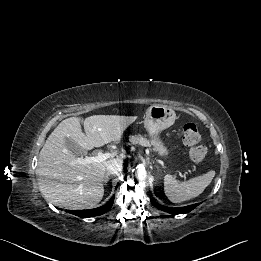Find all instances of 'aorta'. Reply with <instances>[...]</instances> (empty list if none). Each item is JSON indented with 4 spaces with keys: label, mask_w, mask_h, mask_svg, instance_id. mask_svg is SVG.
Returning <instances> with one entry per match:
<instances>
[{
    "label": "aorta",
    "mask_w": 261,
    "mask_h": 261,
    "mask_svg": "<svg viewBox=\"0 0 261 261\" xmlns=\"http://www.w3.org/2000/svg\"><path fill=\"white\" fill-rule=\"evenodd\" d=\"M135 176L138 180L144 181L147 178V171L145 170L144 167L138 166V167H136V170H135Z\"/></svg>",
    "instance_id": "1"
}]
</instances>
